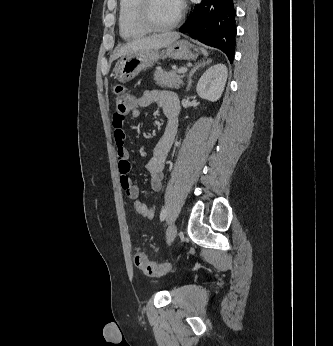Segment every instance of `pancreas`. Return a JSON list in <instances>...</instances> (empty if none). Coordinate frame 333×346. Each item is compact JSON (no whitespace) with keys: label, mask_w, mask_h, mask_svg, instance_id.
Listing matches in <instances>:
<instances>
[{"label":"pancreas","mask_w":333,"mask_h":346,"mask_svg":"<svg viewBox=\"0 0 333 346\" xmlns=\"http://www.w3.org/2000/svg\"><path fill=\"white\" fill-rule=\"evenodd\" d=\"M184 75H180L178 71H163L160 68L154 73V80L156 84L161 87L167 88H180L183 84Z\"/></svg>","instance_id":"1"}]
</instances>
